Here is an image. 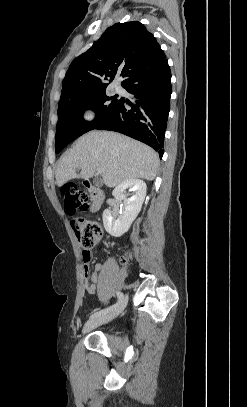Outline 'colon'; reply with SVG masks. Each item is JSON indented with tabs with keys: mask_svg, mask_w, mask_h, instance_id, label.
Here are the masks:
<instances>
[{
	"mask_svg": "<svg viewBox=\"0 0 247 407\" xmlns=\"http://www.w3.org/2000/svg\"><path fill=\"white\" fill-rule=\"evenodd\" d=\"M61 195L64 200V212L67 215H74L77 210H85L89 207L88 195L73 183L64 185L61 188ZM71 224L83 248V253L89 255L101 235V225L81 218L73 219Z\"/></svg>",
	"mask_w": 247,
	"mask_h": 407,
	"instance_id": "obj_1",
	"label": "colon"
}]
</instances>
